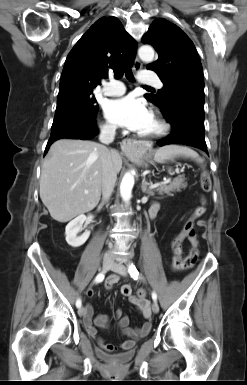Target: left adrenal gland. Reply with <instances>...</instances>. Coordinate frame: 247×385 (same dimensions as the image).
<instances>
[{
  "label": "left adrenal gland",
  "instance_id": "obj_1",
  "mask_svg": "<svg viewBox=\"0 0 247 385\" xmlns=\"http://www.w3.org/2000/svg\"><path fill=\"white\" fill-rule=\"evenodd\" d=\"M141 189H142V192L144 194H147L148 196H153V194H154L153 191L150 188H148V185H147V182H146L145 178L142 181Z\"/></svg>",
  "mask_w": 247,
  "mask_h": 385
}]
</instances>
